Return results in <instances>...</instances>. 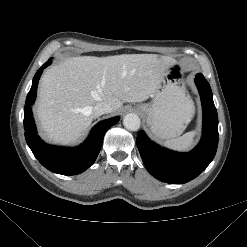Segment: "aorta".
Masks as SVG:
<instances>
[{
    "label": "aorta",
    "mask_w": 247,
    "mask_h": 247,
    "mask_svg": "<svg viewBox=\"0 0 247 247\" xmlns=\"http://www.w3.org/2000/svg\"><path fill=\"white\" fill-rule=\"evenodd\" d=\"M123 125L130 131H137L140 128L141 121L138 115L129 113L124 116Z\"/></svg>",
    "instance_id": "762f6f07"
}]
</instances>
